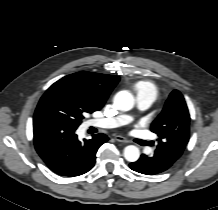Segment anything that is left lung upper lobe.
<instances>
[{"label":"left lung upper lobe","mask_w":218,"mask_h":210,"mask_svg":"<svg viewBox=\"0 0 218 210\" xmlns=\"http://www.w3.org/2000/svg\"><path fill=\"white\" fill-rule=\"evenodd\" d=\"M189 126L190 115L186 102L182 94L174 90L151 125V131L158 135L157 149L179 158L189 140Z\"/></svg>","instance_id":"1"}]
</instances>
